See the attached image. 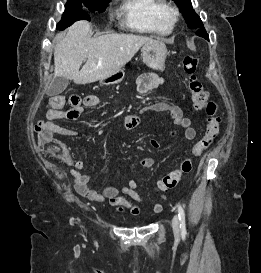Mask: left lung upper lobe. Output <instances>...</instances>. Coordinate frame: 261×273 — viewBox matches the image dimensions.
<instances>
[{
	"mask_svg": "<svg viewBox=\"0 0 261 273\" xmlns=\"http://www.w3.org/2000/svg\"><path fill=\"white\" fill-rule=\"evenodd\" d=\"M174 2L179 6L189 28L199 29L203 27V23L193 10L190 0H174Z\"/></svg>",
	"mask_w": 261,
	"mask_h": 273,
	"instance_id": "left-lung-upper-lobe-1",
	"label": "left lung upper lobe"
}]
</instances>
